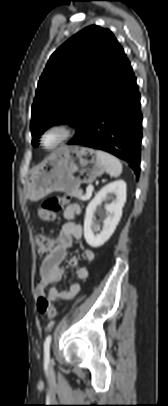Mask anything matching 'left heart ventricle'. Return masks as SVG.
Segmentation results:
<instances>
[{
	"label": "left heart ventricle",
	"instance_id": "obj_1",
	"mask_svg": "<svg viewBox=\"0 0 168 406\" xmlns=\"http://www.w3.org/2000/svg\"><path fill=\"white\" fill-rule=\"evenodd\" d=\"M59 138V135L57 133H49L45 139H44V143L46 146H52L53 144H55L57 142Z\"/></svg>",
	"mask_w": 168,
	"mask_h": 406
}]
</instances>
